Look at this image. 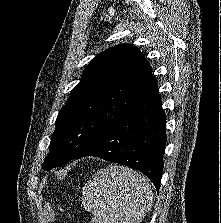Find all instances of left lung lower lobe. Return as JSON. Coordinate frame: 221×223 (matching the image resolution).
Returning a JSON list of instances; mask_svg holds the SVG:
<instances>
[{
  "mask_svg": "<svg viewBox=\"0 0 221 223\" xmlns=\"http://www.w3.org/2000/svg\"><path fill=\"white\" fill-rule=\"evenodd\" d=\"M166 140V116L156 81L75 159L96 156L134 168L149 177L158 191Z\"/></svg>",
  "mask_w": 221,
  "mask_h": 223,
  "instance_id": "1",
  "label": "left lung lower lobe"
}]
</instances>
